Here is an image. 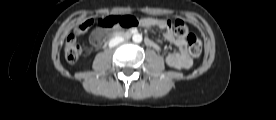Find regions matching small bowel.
I'll return each instance as SVG.
<instances>
[{"label":"small bowel","mask_w":276,"mask_h":120,"mask_svg":"<svg viewBox=\"0 0 276 120\" xmlns=\"http://www.w3.org/2000/svg\"><path fill=\"white\" fill-rule=\"evenodd\" d=\"M141 25L144 27H157L164 30V37L169 42L180 48L179 52H169L165 55V61L167 65L176 69L189 68L192 65V59L187 52V41L184 39L176 38L173 31L168 24V21L154 18H144L141 20ZM102 33L100 31H94L90 36V41L94 47H99L102 43ZM147 46L160 50L159 45L151 40L146 39Z\"/></svg>","instance_id":"small-bowel-1"}]
</instances>
